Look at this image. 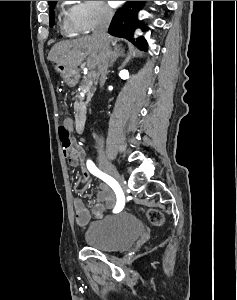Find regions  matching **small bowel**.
<instances>
[{
	"instance_id": "small-bowel-1",
	"label": "small bowel",
	"mask_w": 237,
	"mask_h": 300,
	"mask_svg": "<svg viewBox=\"0 0 237 300\" xmlns=\"http://www.w3.org/2000/svg\"><path fill=\"white\" fill-rule=\"evenodd\" d=\"M63 126L70 132L74 130V121L67 117L63 121ZM64 155L68 158L69 164L73 167H78L81 169L80 183H85L89 178V172L87 170V157L86 152L77 144L73 149L69 151H64ZM115 191L108 186L106 183L102 182L99 184L97 192L98 202L93 206L90 211L84 200L77 197L74 200L75 207V221L79 227H84L91 220V217L101 218L106 210H114L116 207Z\"/></svg>"
}]
</instances>
